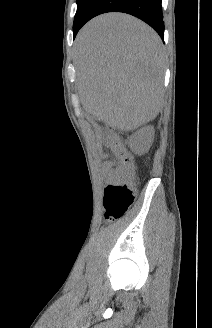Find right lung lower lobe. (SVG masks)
Returning a JSON list of instances; mask_svg holds the SVG:
<instances>
[{
    "label": "right lung lower lobe",
    "mask_w": 212,
    "mask_h": 328,
    "mask_svg": "<svg viewBox=\"0 0 212 328\" xmlns=\"http://www.w3.org/2000/svg\"><path fill=\"white\" fill-rule=\"evenodd\" d=\"M162 0H95L84 21L74 30V37L79 29L93 17L107 12L131 14L149 24L164 39Z\"/></svg>",
    "instance_id": "98d812e1"
}]
</instances>
